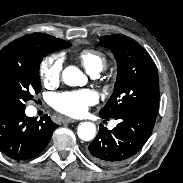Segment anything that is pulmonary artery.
I'll return each instance as SVG.
<instances>
[{
    "mask_svg": "<svg viewBox=\"0 0 183 183\" xmlns=\"http://www.w3.org/2000/svg\"><path fill=\"white\" fill-rule=\"evenodd\" d=\"M98 75H99V72H95L91 74L92 77H98Z\"/></svg>",
    "mask_w": 183,
    "mask_h": 183,
    "instance_id": "obj_1",
    "label": "pulmonary artery"
}]
</instances>
